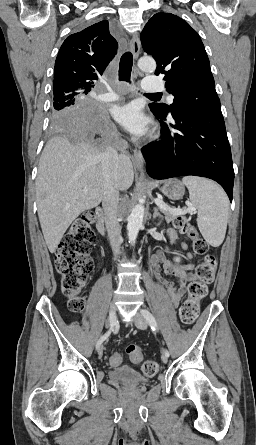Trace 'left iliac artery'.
Masks as SVG:
<instances>
[{
    "label": "left iliac artery",
    "mask_w": 256,
    "mask_h": 445,
    "mask_svg": "<svg viewBox=\"0 0 256 445\" xmlns=\"http://www.w3.org/2000/svg\"><path fill=\"white\" fill-rule=\"evenodd\" d=\"M142 314H143L146 322L150 325L151 329L153 331H156L158 328L157 322H156L154 316L150 313V311L144 309V310H142ZM163 352L167 357L170 356L169 351L167 349H164Z\"/></svg>",
    "instance_id": "1"
}]
</instances>
